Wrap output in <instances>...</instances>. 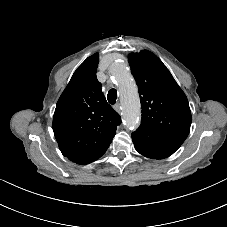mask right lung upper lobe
I'll list each match as a JSON object with an SVG mask.
<instances>
[{
    "mask_svg": "<svg viewBox=\"0 0 227 227\" xmlns=\"http://www.w3.org/2000/svg\"><path fill=\"white\" fill-rule=\"evenodd\" d=\"M98 63L95 53L76 69L53 117V131L62 154L80 165L106 152L121 123L119 114L101 92L96 77Z\"/></svg>",
    "mask_w": 227,
    "mask_h": 227,
    "instance_id": "obj_1",
    "label": "right lung upper lobe"
}]
</instances>
